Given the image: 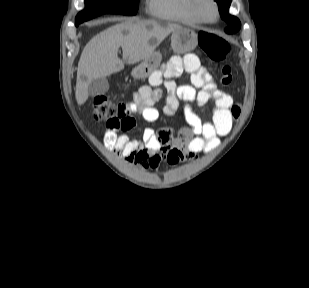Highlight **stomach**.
<instances>
[{
  "label": "stomach",
  "instance_id": "obj_1",
  "mask_svg": "<svg viewBox=\"0 0 309 288\" xmlns=\"http://www.w3.org/2000/svg\"><path fill=\"white\" fill-rule=\"evenodd\" d=\"M198 45L197 33L186 27H180L172 32L171 35V47L177 54L190 52ZM162 60V55L159 51L154 52L149 57L145 58L138 66H136L131 75L135 79H142L149 76L155 71Z\"/></svg>",
  "mask_w": 309,
  "mask_h": 288
}]
</instances>
